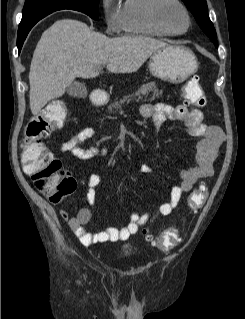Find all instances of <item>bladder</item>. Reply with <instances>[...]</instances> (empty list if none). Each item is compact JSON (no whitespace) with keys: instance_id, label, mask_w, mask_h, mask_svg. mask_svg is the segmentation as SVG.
I'll use <instances>...</instances> for the list:
<instances>
[{"instance_id":"obj_1","label":"bladder","mask_w":245,"mask_h":319,"mask_svg":"<svg viewBox=\"0 0 245 319\" xmlns=\"http://www.w3.org/2000/svg\"><path fill=\"white\" fill-rule=\"evenodd\" d=\"M131 250H132V245L130 243L123 245L120 249V251L124 254L131 252Z\"/></svg>"}]
</instances>
